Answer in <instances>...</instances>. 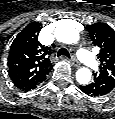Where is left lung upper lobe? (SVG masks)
I'll return each mask as SVG.
<instances>
[{
	"label": "left lung upper lobe",
	"mask_w": 115,
	"mask_h": 119,
	"mask_svg": "<svg viewBox=\"0 0 115 119\" xmlns=\"http://www.w3.org/2000/svg\"><path fill=\"white\" fill-rule=\"evenodd\" d=\"M87 28L93 44L100 49L99 74L115 81V31L102 22L88 25Z\"/></svg>",
	"instance_id": "left-lung-upper-lobe-1"
}]
</instances>
